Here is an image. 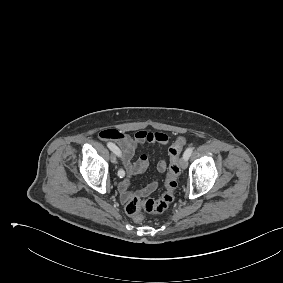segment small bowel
I'll return each mask as SVG.
<instances>
[{"mask_svg": "<svg viewBox=\"0 0 283 283\" xmlns=\"http://www.w3.org/2000/svg\"><path fill=\"white\" fill-rule=\"evenodd\" d=\"M99 136L103 140L114 141L120 147V158L125 169L124 172L126 173V178L120 182L118 187L122 201L127 202L134 196L145 197L151 194L158 186L157 178L136 192L130 190L131 178L143 173L149 164L148 157L145 154L140 155L136 161H133V157L136 150L145 143L166 145L168 143V136L162 132H149L145 130H139L131 136L116 129H105L100 132ZM156 168L159 173L165 172L167 160L165 158L160 159Z\"/></svg>", "mask_w": 283, "mask_h": 283, "instance_id": "1", "label": "small bowel"}]
</instances>
